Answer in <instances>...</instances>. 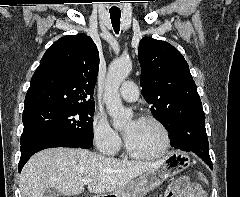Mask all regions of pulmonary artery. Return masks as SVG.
Here are the masks:
<instances>
[{
  "label": "pulmonary artery",
  "instance_id": "obj_1",
  "mask_svg": "<svg viewBox=\"0 0 240 197\" xmlns=\"http://www.w3.org/2000/svg\"><path fill=\"white\" fill-rule=\"evenodd\" d=\"M119 95L124 100L128 102H133L136 101L139 97V89L133 81L128 80L122 84L119 90Z\"/></svg>",
  "mask_w": 240,
  "mask_h": 197
}]
</instances>
